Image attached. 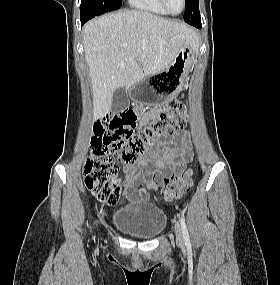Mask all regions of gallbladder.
Masks as SVG:
<instances>
[{
  "mask_svg": "<svg viewBox=\"0 0 280 285\" xmlns=\"http://www.w3.org/2000/svg\"><path fill=\"white\" fill-rule=\"evenodd\" d=\"M130 104L128 95L123 88H117L113 93L112 99V111L113 112H122Z\"/></svg>",
  "mask_w": 280,
  "mask_h": 285,
  "instance_id": "obj_1",
  "label": "gallbladder"
}]
</instances>
